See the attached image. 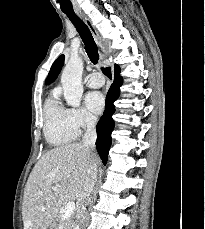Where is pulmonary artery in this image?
Segmentation results:
<instances>
[{"instance_id":"pulmonary-artery-1","label":"pulmonary artery","mask_w":205,"mask_h":229,"mask_svg":"<svg viewBox=\"0 0 205 229\" xmlns=\"http://www.w3.org/2000/svg\"><path fill=\"white\" fill-rule=\"evenodd\" d=\"M84 82L90 88H99L104 84V78L99 73L93 72L85 77Z\"/></svg>"}]
</instances>
